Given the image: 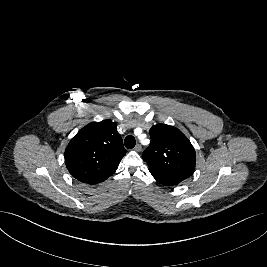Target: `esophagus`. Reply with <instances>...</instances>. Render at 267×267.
<instances>
[{
  "label": "esophagus",
  "instance_id": "obj_1",
  "mask_svg": "<svg viewBox=\"0 0 267 267\" xmlns=\"http://www.w3.org/2000/svg\"><path fill=\"white\" fill-rule=\"evenodd\" d=\"M134 150L135 151H141V145L140 144H136L135 147H134Z\"/></svg>",
  "mask_w": 267,
  "mask_h": 267
}]
</instances>
